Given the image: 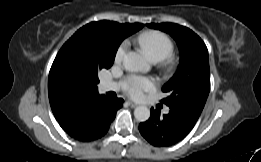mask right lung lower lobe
I'll return each mask as SVG.
<instances>
[{
    "instance_id": "1",
    "label": "right lung lower lobe",
    "mask_w": 261,
    "mask_h": 162,
    "mask_svg": "<svg viewBox=\"0 0 261 162\" xmlns=\"http://www.w3.org/2000/svg\"><path fill=\"white\" fill-rule=\"evenodd\" d=\"M124 100H110L97 95L57 119L60 126L76 140L87 142L104 136Z\"/></svg>"
}]
</instances>
